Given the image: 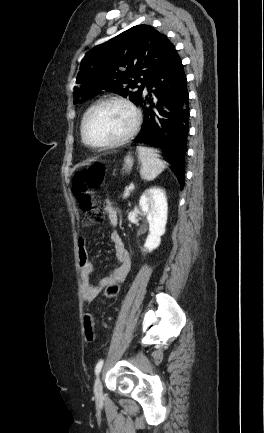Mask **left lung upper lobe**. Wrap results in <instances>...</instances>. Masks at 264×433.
Instances as JSON below:
<instances>
[{"label":"left lung upper lobe","instance_id":"left-lung-upper-lobe-1","mask_svg":"<svg viewBox=\"0 0 264 433\" xmlns=\"http://www.w3.org/2000/svg\"><path fill=\"white\" fill-rule=\"evenodd\" d=\"M173 50L168 38L150 25L122 32L86 53L76 80L74 103L110 91L137 104L144 87Z\"/></svg>","mask_w":264,"mask_h":433}]
</instances>
